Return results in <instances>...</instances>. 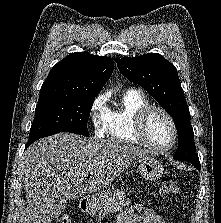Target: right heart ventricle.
<instances>
[{
  "label": "right heart ventricle",
  "mask_w": 221,
  "mask_h": 223,
  "mask_svg": "<svg viewBox=\"0 0 221 223\" xmlns=\"http://www.w3.org/2000/svg\"><path fill=\"white\" fill-rule=\"evenodd\" d=\"M149 105L148 97L141 90H126L121 97L120 106L108 113V139L119 143H137L132 131L135 118L141 109Z\"/></svg>",
  "instance_id": "e07e8e85"
}]
</instances>
